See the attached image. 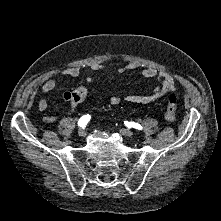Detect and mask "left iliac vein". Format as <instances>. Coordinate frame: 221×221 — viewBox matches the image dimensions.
Here are the masks:
<instances>
[{"instance_id": "4c4485c4", "label": "left iliac vein", "mask_w": 221, "mask_h": 221, "mask_svg": "<svg viewBox=\"0 0 221 221\" xmlns=\"http://www.w3.org/2000/svg\"><path fill=\"white\" fill-rule=\"evenodd\" d=\"M120 133L127 137H132L134 135L132 131H130L129 129H124V128L120 129Z\"/></svg>"}]
</instances>
